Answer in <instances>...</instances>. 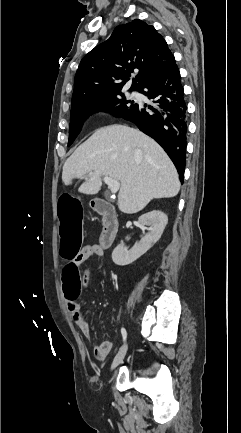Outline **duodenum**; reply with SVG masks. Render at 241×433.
Returning a JSON list of instances; mask_svg holds the SVG:
<instances>
[{
	"instance_id": "obj_1",
	"label": "duodenum",
	"mask_w": 241,
	"mask_h": 433,
	"mask_svg": "<svg viewBox=\"0 0 241 433\" xmlns=\"http://www.w3.org/2000/svg\"><path fill=\"white\" fill-rule=\"evenodd\" d=\"M91 205L102 216V231L99 246L102 249H107L114 242L118 232L119 221L117 214L110 205L99 198L92 199Z\"/></svg>"
}]
</instances>
